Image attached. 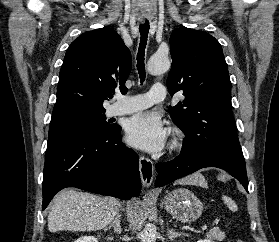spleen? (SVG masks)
<instances>
[{
  "mask_svg": "<svg viewBox=\"0 0 279 242\" xmlns=\"http://www.w3.org/2000/svg\"><path fill=\"white\" fill-rule=\"evenodd\" d=\"M222 199L224 203L229 207L230 210L232 211H237L238 207L236 203L228 196L223 195Z\"/></svg>",
  "mask_w": 279,
  "mask_h": 242,
  "instance_id": "obj_1",
  "label": "spleen"
}]
</instances>
